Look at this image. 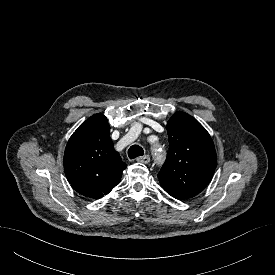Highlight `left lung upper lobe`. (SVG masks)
I'll list each match as a JSON object with an SVG mask.
<instances>
[{
	"instance_id": "5c2ea615",
	"label": "left lung upper lobe",
	"mask_w": 275,
	"mask_h": 275,
	"mask_svg": "<svg viewBox=\"0 0 275 275\" xmlns=\"http://www.w3.org/2000/svg\"><path fill=\"white\" fill-rule=\"evenodd\" d=\"M166 128L170 149L159 182L176 199L192 198L212 179L217 165L214 143L206 129L184 112H176Z\"/></svg>"
}]
</instances>
